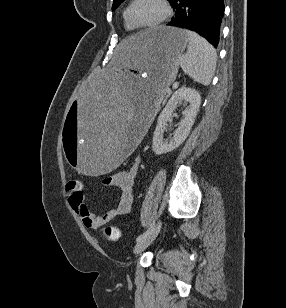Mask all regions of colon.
<instances>
[{"label": "colon", "instance_id": "5ec220e1", "mask_svg": "<svg viewBox=\"0 0 286 308\" xmlns=\"http://www.w3.org/2000/svg\"><path fill=\"white\" fill-rule=\"evenodd\" d=\"M81 187V182L79 180H70L67 183L68 191H79ZM102 235L106 240L116 241L120 237V231L115 226H105L102 229Z\"/></svg>", "mask_w": 286, "mask_h": 308}]
</instances>
